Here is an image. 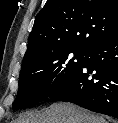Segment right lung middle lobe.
Masks as SVG:
<instances>
[{
  "label": "right lung middle lobe",
  "mask_w": 118,
  "mask_h": 123,
  "mask_svg": "<svg viewBox=\"0 0 118 123\" xmlns=\"http://www.w3.org/2000/svg\"><path fill=\"white\" fill-rule=\"evenodd\" d=\"M88 51L60 48L22 64L13 109L36 104L66 84L81 68Z\"/></svg>",
  "instance_id": "1"
}]
</instances>
